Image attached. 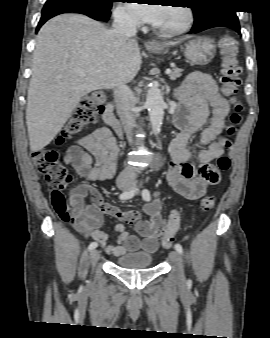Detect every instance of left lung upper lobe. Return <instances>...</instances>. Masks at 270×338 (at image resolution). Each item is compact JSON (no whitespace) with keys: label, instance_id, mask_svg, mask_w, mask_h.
Returning <instances> with one entry per match:
<instances>
[{"label":"left lung upper lobe","instance_id":"obj_1","mask_svg":"<svg viewBox=\"0 0 270 338\" xmlns=\"http://www.w3.org/2000/svg\"><path fill=\"white\" fill-rule=\"evenodd\" d=\"M229 0H193L192 3L199 4L192 7L194 13V25L193 29L200 28L209 20L223 15L229 11H233L227 8Z\"/></svg>","mask_w":270,"mask_h":338}]
</instances>
